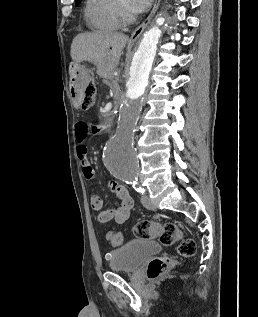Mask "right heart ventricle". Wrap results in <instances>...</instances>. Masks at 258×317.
<instances>
[{
  "label": "right heart ventricle",
  "instance_id": "e07e8e85",
  "mask_svg": "<svg viewBox=\"0 0 258 317\" xmlns=\"http://www.w3.org/2000/svg\"><path fill=\"white\" fill-rule=\"evenodd\" d=\"M122 0H88L84 14L89 26L98 32H112L120 27L117 11Z\"/></svg>",
  "mask_w": 258,
  "mask_h": 317
}]
</instances>
